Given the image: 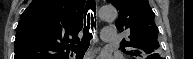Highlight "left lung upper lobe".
<instances>
[{
	"label": "left lung upper lobe",
	"mask_w": 193,
	"mask_h": 59,
	"mask_svg": "<svg viewBox=\"0 0 193 59\" xmlns=\"http://www.w3.org/2000/svg\"><path fill=\"white\" fill-rule=\"evenodd\" d=\"M119 11L117 29L130 32V36L120 43L126 54H156L158 28L154 23V12L148 0H107ZM158 55V54H157ZM154 57H156L154 55Z\"/></svg>",
	"instance_id": "5c2ea615"
}]
</instances>
